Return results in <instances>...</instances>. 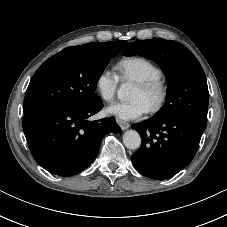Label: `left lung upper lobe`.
Returning <instances> with one entry per match:
<instances>
[{
    "mask_svg": "<svg viewBox=\"0 0 227 227\" xmlns=\"http://www.w3.org/2000/svg\"><path fill=\"white\" fill-rule=\"evenodd\" d=\"M141 55L160 65L168 81L166 104L152 117L190 116L206 121L209 92L205 73L183 45L163 39L137 40L123 55Z\"/></svg>",
    "mask_w": 227,
    "mask_h": 227,
    "instance_id": "1",
    "label": "left lung upper lobe"
}]
</instances>
